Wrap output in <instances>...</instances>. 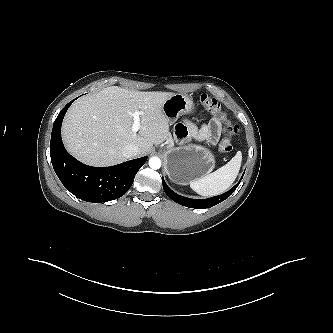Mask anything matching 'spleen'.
<instances>
[{"mask_svg": "<svg viewBox=\"0 0 333 333\" xmlns=\"http://www.w3.org/2000/svg\"><path fill=\"white\" fill-rule=\"evenodd\" d=\"M241 162L242 153L238 151L226 165L198 180L191 181V189L203 196H213L223 193L235 181L241 167Z\"/></svg>", "mask_w": 333, "mask_h": 333, "instance_id": "3e777b00", "label": "spleen"}]
</instances>
